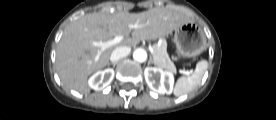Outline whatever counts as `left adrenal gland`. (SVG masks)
Returning a JSON list of instances; mask_svg holds the SVG:
<instances>
[{
	"mask_svg": "<svg viewBox=\"0 0 276 120\" xmlns=\"http://www.w3.org/2000/svg\"><path fill=\"white\" fill-rule=\"evenodd\" d=\"M151 63H152V64H155L154 61H153V59H152V56L150 55L149 64H151Z\"/></svg>",
	"mask_w": 276,
	"mask_h": 120,
	"instance_id": "left-adrenal-gland-1",
	"label": "left adrenal gland"
}]
</instances>
